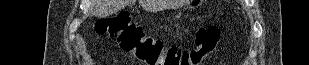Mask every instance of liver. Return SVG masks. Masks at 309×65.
<instances>
[{
  "instance_id": "obj_1",
  "label": "liver",
  "mask_w": 309,
  "mask_h": 65,
  "mask_svg": "<svg viewBox=\"0 0 309 65\" xmlns=\"http://www.w3.org/2000/svg\"><path fill=\"white\" fill-rule=\"evenodd\" d=\"M128 4V0H92V5L94 6L92 15L107 17L120 11ZM140 4L143 8L150 11H155L162 7V4L157 3L155 0H140Z\"/></svg>"
}]
</instances>
